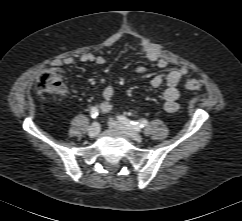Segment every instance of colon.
Returning <instances> with one entry per match:
<instances>
[{
    "mask_svg": "<svg viewBox=\"0 0 242 221\" xmlns=\"http://www.w3.org/2000/svg\"><path fill=\"white\" fill-rule=\"evenodd\" d=\"M64 75L60 68L50 67L43 69L36 80V88L40 93H60L63 89ZM202 86L199 79L189 78L185 81L188 90H198Z\"/></svg>",
    "mask_w": 242,
    "mask_h": 221,
    "instance_id": "colon-1",
    "label": "colon"
}]
</instances>
